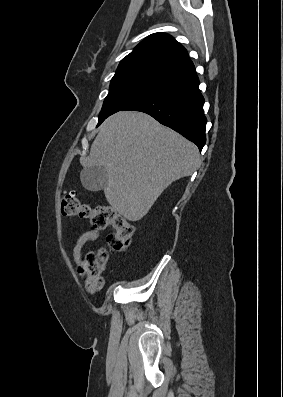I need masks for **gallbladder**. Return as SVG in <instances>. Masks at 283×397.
<instances>
[{
	"label": "gallbladder",
	"mask_w": 283,
	"mask_h": 397,
	"mask_svg": "<svg viewBox=\"0 0 283 397\" xmlns=\"http://www.w3.org/2000/svg\"><path fill=\"white\" fill-rule=\"evenodd\" d=\"M80 180L85 189L99 191L105 187L108 173L103 166L87 167L81 171Z\"/></svg>",
	"instance_id": "bac80fb5"
}]
</instances>
